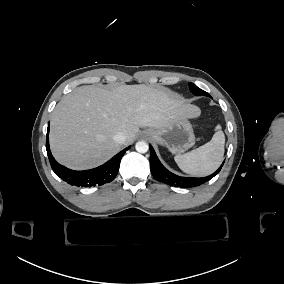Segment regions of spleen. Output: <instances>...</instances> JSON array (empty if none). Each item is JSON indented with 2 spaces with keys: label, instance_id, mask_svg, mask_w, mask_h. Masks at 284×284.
I'll return each mask as SVG.
<instances>
[{
  "label": "spleen",
  "instance_id": "obj_1",
  "mask_svg": "<svg viewBox=\"0 0 284 284\" xmlns=\"http://www.w3.org/2000/svg\"><path fill=\"white\" fill-rule=\"evenodd\" d=\"M215 134L206 144L183 155H176L179 168L192 176H207L219 168L224 156L225 135L221 125L215 127Z\"/></svg>",
  "mask_w": 284,
  "mask_h": 284
}]
</instances>
